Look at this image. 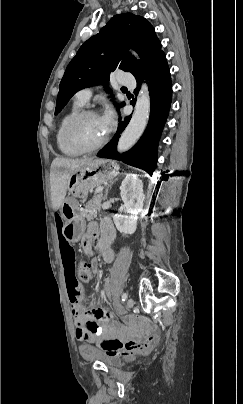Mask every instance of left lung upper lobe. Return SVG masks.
Instances as JSON below:
<instances>
[{"label":"left lung upper lobe","instance_id":"left-lung-upper-lobe-1","mask_svg":"<svg viewBox=\"0 0 243 404\" xmlns=\"http://www.w3.org/2000/svg\"><path fill=\"white\" fill-rule=\"evenodd\" d=\"M123 47L136 50L143 63L139 64ZM163 53L154 28L145 18L132 13L113 16L80 47L69 63L60 83L55 114L77 91L96 84L108 87L110 72L115 69L130 72L137 78Z\"/></svg>","mask_w":243,"mask_h":404}]
</instances>
